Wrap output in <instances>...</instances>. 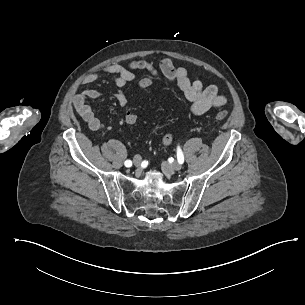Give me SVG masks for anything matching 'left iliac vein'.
<instances>
[{"label": "left iliac vein", "instance_id": "1", "mask_svg": "<svg viewBox=\"0 0 305 305\" xmlns=\"http://www.w3.org/2000/svg\"><path fill=\"white\" fill-rule=\"evenodd\" d=\"M163 168L165 169V170H167V171H173V172H177V171H180L181 170V168H182V164L181 163H179V162H175V163H173V164H171V165H168V164H163Z\"/></svg>", "mask_w": 305, "mask_h": 305}]
</instances>
